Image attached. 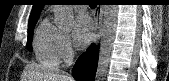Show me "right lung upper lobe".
I'll return each mask as SVG.
<instances>
[{
	"label": "right lung upper lobe",
	"instance_id": "right-lung-upper-lobe-1",
	"mask_svg": "<svg viewBox=\"0 0 169 81\" xmlns=\"http://www.w3.org/2000/svg\"><path fill=\"white\" fill-rule=\"evenodd\" d=\"M35 4L33 5L29 22H33L38 19V16L44 6V0H34Z\"/></svg>",
	"mask_w": 169,
	"mask_h": 81
}]
</instances>
